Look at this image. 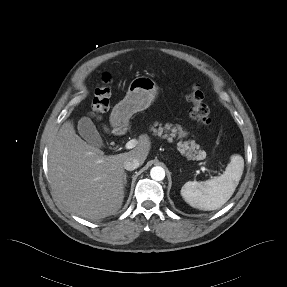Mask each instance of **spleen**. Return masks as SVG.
Returning <instances> with one entry per match:
<instances>
[{
    "instance_id": "spleen-1",
    "label": "spleen",
    "mask_w": 287,
    "mask_h": 287,
    "mask_svg": "<svg viewBox=\"0 0 287 287\" xmlns=\"http://www.w3.org/2000/svg\"><path fill=\"white\" fill-rule=\"evenodd\" d=\"M243 170V157L234 154L221 176L203 182L188 181L181 189V196L193 208L204 211L216 210L231 198Z\"/></svg>"
}]
</instances>
